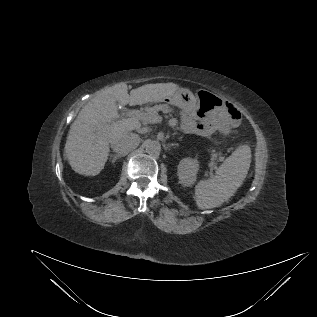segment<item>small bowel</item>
Segmentation results:
<instances>
[{"instance_id":"1","label":"small bowel","mask_w":317,"mask_h":317,"mask_svg":"<svg viewBox=\"0 0 317 317\" xmlns=\"http://www.w3.org/2000/svg\"><path fill=\"white\" fill-rule=\"evenodd\" d=\"M184 127L188 132L207 136L216 131V129L218 128V122L214 118H209L205 122L198 125L194 122L187 121Z\"/></svg>"}]
</instances>
